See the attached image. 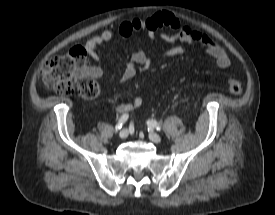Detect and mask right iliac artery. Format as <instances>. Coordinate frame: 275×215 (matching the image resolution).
I'll return each mask as SVG.
<instances>
[{
	"label": "right iliac artery",
	"mask_w": 275,
	"mask_h": 215,
	"mask_svg": "<svg viewBox=\"0 0 275 215\" xmlns=\"http://www.w3.org/2000/svg\"><path fill=\"white\" fill-rule=\"evenodd\" d=\"M128 119V114H123L120 119L118 120L116 126H115V131L117 132L122 128V126L125 124V122Z\"/></svg>",
	"instance_id": "right-iliac-artery-1"
}]
</instances>
